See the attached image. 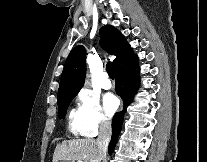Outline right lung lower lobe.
I'll return each mask as SVG.
<instances>
[{
	"instance_id": "98d812e1",
	"label": "right lung lower lobe",
	"mask_w": 207,
	"mask_h": 162,
	"mask_svg": "<svg viewBox=\"0 0 207 162\" xmlns=\"http://www.w3.org/2000/svg\"><path fill=\"white\" fill-rule=\"evenodd\" d=\"M139 66L137 56L115 70L116 93L123 99L124 109L114 115L112 120V138L109 144V154L114 150L118 135L121 130L124 113L132 102L139 85Z\"/></svg>"
}]
</instances>
